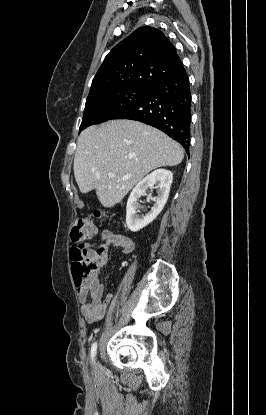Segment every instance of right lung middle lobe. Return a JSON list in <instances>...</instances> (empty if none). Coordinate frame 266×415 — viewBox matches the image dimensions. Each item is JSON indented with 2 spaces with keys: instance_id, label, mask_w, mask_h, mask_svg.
Returning a JSON list of instances; mask_svg holds the SVG:
<instances>
[{
  "instance_id": "obj_1",
  "label": "right lung middle lobe",
  "mask_w": 266,
  "mask_h": 415,
  "mask_svg": "<svg viewBox=\"0 0 266 415\" xmlns=\"http://www.w3.org/2000/svg\"><path fill=\"white\" fill-rule=\"evenodd\" d=\"M149 89L120 87L89 95L80 125V131L88 126L110 120L115 114L143 99Z\"/></svg>"
}]
</instances>
